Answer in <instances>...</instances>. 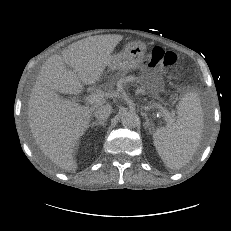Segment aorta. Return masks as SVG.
Returning <instances> with one entry per match:
<instances>
[{"mask_svg": "<svg viewBox=\"0 0 231 231\" xmlns=\"http://www.w3.org/2000/svg\"><path fill=\"white\" fill-rule=\"evenodd\" d=\"M121 122L124 127L134 128L139 122L138 115L134 112L124 113L121 117Z\"/></svg>", "mask_w": 231, "mask_h": 231, "instance_id": "obj_1", "label": "aorta"}]
</instances>
